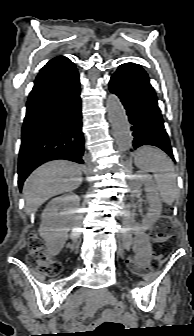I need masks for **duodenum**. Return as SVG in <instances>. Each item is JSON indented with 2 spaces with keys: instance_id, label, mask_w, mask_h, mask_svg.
<instances>
[{
  "instance_id": "1",
  "label": "duodenum",
  "mask_w": 194,
  "mask_h": 336,
  "mask_svg": "<svg viewBox=\"0 0 194 336\" xmlns=\"http://www.w3.org/2000/svg\"><path fill=\"white\" fill-rule=\"evenodd\" d=\"M91 303H92V305H94V306H98V304H99L98 300H97V299H94V298L91 299Z\"/></svg>"
}]
</instances>
